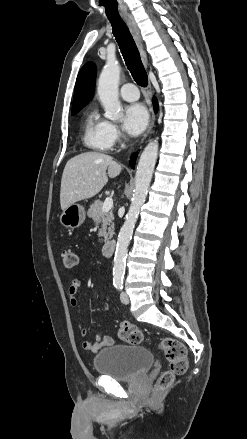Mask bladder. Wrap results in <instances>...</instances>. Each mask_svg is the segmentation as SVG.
<instances>
[{"mask_svg": "<svg viewBox=\"0 0 247 439\" xmlns=\"http://www.w3.org/2000/svg\"><path fill=\"white\" fill-rule=\"evenodd\" d=\"M154 361L144 347L115 344L99 351L93 365L97 373L118 381H133L146 373Z\"/></svg>", "mask_w": 247, "mask_h": 439, "instance_id": "obj_1", "label": "bladder"}]
</instances>
